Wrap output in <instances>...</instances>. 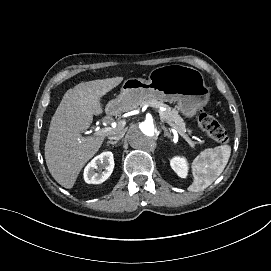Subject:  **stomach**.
Here are the masks:
<instances>
[{
    "mask_svg": "<svg viewBox=\"0 0 271 271\" xmlns=\"http://www.w3.org/2000/svg\"><path fill=\"white\" fill-rule=\"evenodd\" d=\"M177 102V108L186 117H193L209 101L210 90L205 86L200 71L179 64L153 69L148 80L129 78L120 94L108 103L106 112L117 114L135 109L148 99Z\"/></svg>",
    "mask_w": 271,
    "mask_h": 271,
    "instance_id": "1",
    "label": "stomach"
}]
</instances>
